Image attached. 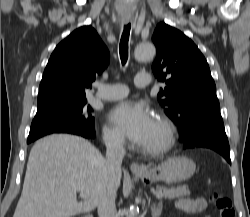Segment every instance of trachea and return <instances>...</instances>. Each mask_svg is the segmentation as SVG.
I'll return each instance as SVG.
<instances>
[{
  "instance_id": "trachea-1",
  "label": "trachea",
  "mask_w": 250,
  "mask_h": 217,
  "mask_svg": "<svg viewBox=\"0 0 250 217\" xmlns=\"http://www.w3.org/2000/svg\"><path fill=\"white\" fill-rule=\"evenodd\" d=\"M131 24L124 26V30L120 40L119 53L122 64L124 65L128 59V41L130 35Z\"/></svg>"
}]
</instances>
